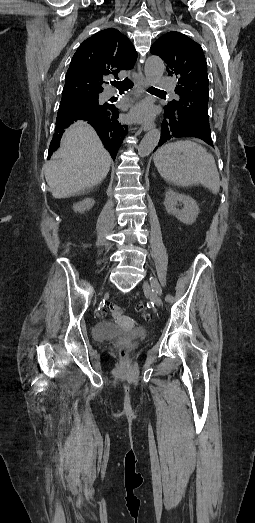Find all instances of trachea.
Returning <instances> with one entry per match:
<instances>
[{
	"label": "trachea",
	"mask_w": 255,
	"mask_h": 523,
	"mask_svg": "<svg viewBox=\"0 0 255 523\" xmlns=\"http://www.w3.org/2000/svg\"><path fill=\"white\" fill-rule=\"evenodd\" d=\"M112 85L117 87L119 91H124V90H129L130 88H132L134 83L132 82V80L126 78L122 82L113 81ZM146 90L149 91L150 93H153V92L166 93V92H164V90H159V88H155V87H147Z\"/></svg>",
	"instance_id": "3493384b"
}]
</instances>
